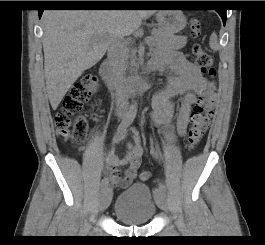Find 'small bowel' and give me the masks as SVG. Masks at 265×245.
I'll return each instance as SVG.
<instances>
[{
    "label": "small bowel",
    "instance_id": "small-bowel-1",
    "mask_svg": "<svg viewBox=\"0 0 265 245\" xmlns=\"http://www.w3.org/2000/svg\"><path fill=\"white\" fill-rule=\"evenodd\" d=\"M148 64L153 71L168 74L166 84L153 98L151 119L165 135H168L171 122L176 118L174 132L178 136H184L190 123L192 107L196 104L206 82L199 69L179 53L165 57L154 55ZM177 98L180 100L178 106L175 103ZM131 132L133 142L127 143L123 157L116 154L114 147L124 139L126 132L115 134L104 167L106 178L113 186L122 189L133 183L143 155L142 141L137 130L132 129ZM122 165L127 166L123 174L119 170Z\"/></svg>",
    "mask_w": 265,
    "mask_h": 245
}]
</instances>
